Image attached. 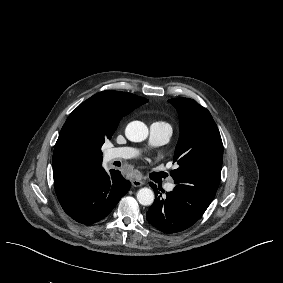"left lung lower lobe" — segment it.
Here are the masks:
<instances>
[{"label":"left lung lower lobe","mask_w":283,"mask_h":283,"mask_svg":"<svg viewBox=\"0 0 283 283\" xmlns=\"http://www.w3.org/2000/svg\"><path fill=\"white\" fill-rule=\"evenodd\" d=\"M155 192V201L149 208L147 221L164 233H176L192 226L205 212L210 204L196 196L175 186L173 191L167 192L166 197L157 186L150 183Z\"/></svg>","instance_id":"0a47b994"}]
</instances>
